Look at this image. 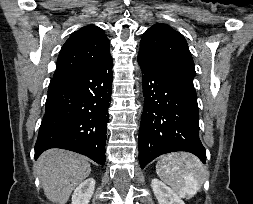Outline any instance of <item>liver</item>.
<instances>
[{
	"instance_id": "1",
	"label": "liver",
	"mask_w": 253,
	"mask_h": 204,
	"mask_svg": "<svg viewBox=\"0 0 253 204\" xmlns=\"http://www.w3.org/2000/svg\"><path fill=\"white\" fill-rule=\"evenodd\" d=\"M44 194L52 202L65 204L73 190L91 172L88 159L63 149L43 152L35 163Z\"/></svg>"
}]
</instances>
